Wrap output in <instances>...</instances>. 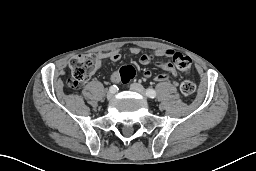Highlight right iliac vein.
I'll return each mask as SVG.
<instances>
[{"label": "right iliac vein", "instance_id": "right-iliac-vein-1", "mask_svg": "<svg viewBox=\"0 0 256 171\" xmlns=\"http://www.w3.org/2000/svg\"><path fill=\"white\" fill-rule=\"evenodd\" d=\"M113 95H114V92H112V91H108V93H107V95H106V98L108 99V100H111L112 98H113Z\"/></svg>", "mask_w": 256, "mask_h": 171}]
</instances>
